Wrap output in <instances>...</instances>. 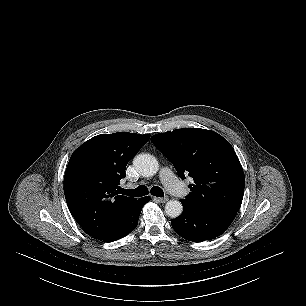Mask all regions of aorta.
<instances>
[{"label": "aorta", "mask_w": 306, "mask_h": 306, "mask_svg": "<svg viewBox=\"0 0 306 306\" xmlns=\"http://www.w3.org/2000/svg\"><path fill=\"white\" fill-rule=\"evenodd\" d=\"M133 164L137 172L143 177H150L157 173L159 164L155 157L150 154H139ZM183 206L180 201L170 200L165 205V212L171 218H177L181 215Z\"/></svg>", "instance_id": "1"}]
</instances>
